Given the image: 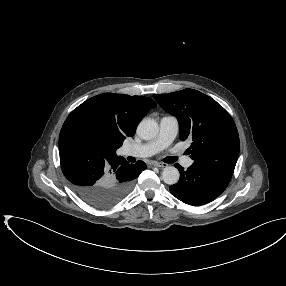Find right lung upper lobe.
<instances>
[{
	"label": "right lung upper lobe",
	"mask_w": 286,
	"mask_h": 286,
	"mask_svg": "<svg viewBox=\"0 0 286 286\" xmlns=\"http://www.w3.org/2000/svg\"><path fill=\"white\" fill-rule=\"evenodd\" d=\"M156 103L144 96L104 93L94 96L76 109L66 119L64 125H75L91 129L95 141L109 157H118L116 150L126 137L135 134L137 124Z\"/></svg>",
	"instance_id": "obj_1"
}]
</instances>
